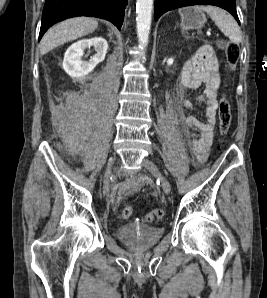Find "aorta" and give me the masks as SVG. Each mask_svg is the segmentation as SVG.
I'll return each instance as SVG.
<instances>
[{
    "instance_id": "1",
    "label": "aorta",
    "mask_w": 267,
    "mask_h": 298,
    "mask_svg": "<svg viewBox=\"0 0 267 298\" xmlns=\"http://www.w3.org/2000/svg\"><path fill=\"white\" fill-rule=\"evenodd\" d=\"M153 0H137L136 3V24L139 48L144 51L148 45L151 20H152Z\"/></svg>"
}]
</instances>
